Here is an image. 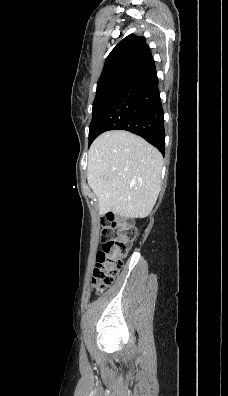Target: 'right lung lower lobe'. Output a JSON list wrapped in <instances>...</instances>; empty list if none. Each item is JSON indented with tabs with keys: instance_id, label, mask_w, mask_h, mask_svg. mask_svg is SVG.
Segmentation results:
<instances>
[{
	"instance_id": "1",
	"label": "right lung lower lobe",
	"mask_w": 228,
	"mask_h": 396,
	"mask_svg": "<svg viewBox=\"0 0 228 396\" xmlns=\"http://www.w3.org/2000/svg\"><path fill=\"white\" fill-rule=\"evenodd\" d=\"M92 141L108 130H127L143 137L164 154L163 109L153 65L128 84L109 104L95 125Z\"/></svg>"
}]
</instances>
